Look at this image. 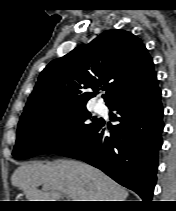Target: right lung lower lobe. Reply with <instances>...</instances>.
Here are the masks:
<instances>
[{
  "label": "right lung lower lobe",
  "instance_id": "obj_1",
  "mask_svg": "<svg viewBox=\"0 0 176 211\" xmlns=\"http://www.w3.org/2000/svg\"><path fill=\"white\" fill-rule=\"evenodd\" d=\"M118 122L106 135L101 121L81 142L57 154L83 160L119 184L150 201L156 183L158 150L162 145L161 90L154 84L145 93L112 107Z\"/></svg>",
  "mask_w": 176,
  "mask_h": 211
}]
</instances>
